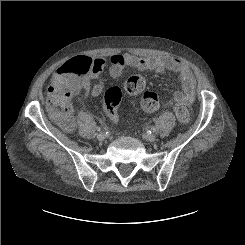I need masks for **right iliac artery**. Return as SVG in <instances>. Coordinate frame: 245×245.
I'll list each match as a JSON object with an SVG mask.
<instances>
[{
    "instance_id": "82829eb1",
    "label": "right iliac artery",
    "mask_w": 245,
    "mask_h": 245,
    "mask_svg": "<svg viewBox=\"0 0 245 245\" xmlns=\"http://www.w3.org/2000/svg\"><path fill=\"white\" fill-rule=\"evenodd\" d=\"M96 130H97V131H100V130H101V128H100V127H96Z\"/></svg>"
}]
</instances>
